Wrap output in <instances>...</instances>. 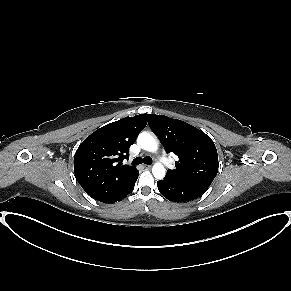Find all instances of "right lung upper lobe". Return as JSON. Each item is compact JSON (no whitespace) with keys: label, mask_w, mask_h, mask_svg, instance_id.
<instances>
[{"label":"right lung upper lobe","mask_w":291,"mask_h":291,"mask_svg":"<svg viewBox=\"0 0 291 291\" xmlns=\"http://www.w3.org/2000/svg\"><path fill=\"white\" fill-rule=\"evenodd\" d=\"M147 120L148 114L125 117L99 128L80 144L74 156L75 177L92 198L104 200L135 177L138 170L122 161L128 159V150Z\"/></svg>","instance_id":"obj_1"}]
</instances>
